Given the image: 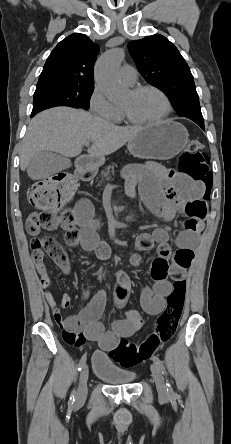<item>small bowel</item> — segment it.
<instances>
[{
	"mask_svg": "<svg viewBox=\"0 0 231 444\" xmlns=\"http://www.w3.org/2000/svg\"><path fill=\"white\" fill-rule=\"evenodd\" d=\"M123 176L127 193L134 196L138 187L147 207L165 220H172L177 214L190 216L189 205L203 201V183L195 182L187 176L177 175L174 170L161 165L150 163L128 167ZM59 227L66 232L68 245L81 247L102 260L110 257L109 246L97 236L94 210L88 199H80L71 211V218L60 219ZM202 228L201 216L198 218V227L195 231L186 230L179 235L178 250L174 254L167 243V234L162 229H157L152 234H140L136 238L135 247L139 252L150 250L155 243L158 244V256L151 266L153 285L145 287L141 293V307L147 314L159 315L164 310L166 299L172 292L171 280L185 278L186 271L194 258V246L198 233ZM33 260L41 277L45 299L67 343L80 347L89 340L96 342L102 350L110 351L145 325L143 316L137 310L127 309L124 317L115 320L111 329L106 330L100 321L107 300L104 290L90 297L89 291L85 289L83 309L76 315L64 317L62 311L70 305L69 296L63 294L61 301L57 302L48 288L50 278L43 255L34 254ZM140 261L139 253L132 255V264L137 266ZM130 287L129 279L124 274H118L114 298L119 305L126 302Z\"/></svg>",
	"mask_w": 231,
	"mask_h": 444,
	"instance_id": "1",
	"label": "small bowel"
}]
</instances>
